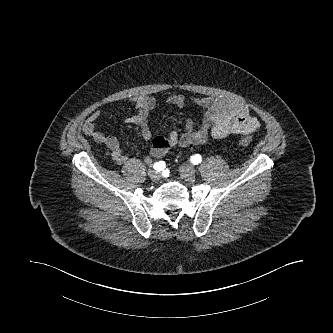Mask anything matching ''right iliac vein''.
<instances>
[{"mask_svg": "<svg viewBox=\"0 0 333 333\" xmlns=\"http://www.w3.org/2000/svg\"><path fill=\"white\" fill-rule=\"evenodd\" d=\"M148 176L152 181H158L161 178L160 172L155 169H150L148 171Z\"/></svg>", "mask_w": 333, "mask_h": 333, "instance_id": "right-iliac-vein-1", "label": "right iliac vein"}]
</instances>
